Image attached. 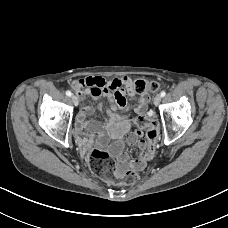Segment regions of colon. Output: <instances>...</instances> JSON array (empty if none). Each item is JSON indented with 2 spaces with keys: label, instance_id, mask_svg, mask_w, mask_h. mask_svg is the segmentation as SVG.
Instances as JSON below:
<instances>
[{
  "label": "colon",
  "instance_id": "1",
  "mask_svg": "<svg viewBox=\"0 0 228 228\" xmlns=\"http://www.w3.org/2000/svg\"><path fill=\"white\" fill-rule=\"evenodd\" d=\"M77 86V82L73 84ZM137 94L143 95L158 90V84L154 81L140 79L134 82ZM135 123L141 128H146V146L140 159L150 160L155 152V147L159 139V127L157 122L148 116L136 117ZM89 167L91 171L106 182L118 185H132L137 182L139 175L135 170H128L119 174L116 164L111 155L105 150L95 148L89 154Z\"/></svg>",
  "mask_w": 228,
  "mask_h": 228
}]
</instances>
